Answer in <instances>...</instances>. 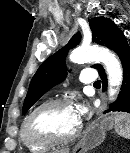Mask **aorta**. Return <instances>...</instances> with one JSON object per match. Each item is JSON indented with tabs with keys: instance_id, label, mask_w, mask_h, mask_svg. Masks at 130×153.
Masks as SVG:
<instances>
[{
	"instance_id": "762f6f07",
	"label": "aorta",
	"mask_w": 130,
	"mask_h": 153,
	"mask_svg": "<svg viewBox=\"0 0 130 153\" xmlns=\"http://www.w3.org/2000/svg\"><path fill=\"white\" fill-rule=\"evenodd\" d=\"M70 61L77 64L90 61L103 63L108 75L109 97L110 100L115 99L123 80L121 64L115 54L102 47H80L70 54Z\"/></svg>"
}]
</instances>
